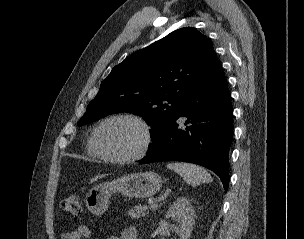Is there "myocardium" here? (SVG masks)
Returning <instances> with one entry per match:
<instances>
[{
	"label": "myocardium",
	"mask_w": 304,
	"mask_h": 239,
	"mask_svg": "<svg viewBox=\"0 0 304 239\" xmlns=\"http://www.w3.org/2000/svg\"><path fill=\"white\" fill-rule=\"evenodd\" d=\"M116 120H129L132 121L140 126L143 132V141L140 146V148L126 156H117V155H112L107 152H105L101 146L99 145L98 142V134L101 130V128L106 125L109 122L116 121ZM153 141V133H152V128L150 124L140 115L134 114V113H118L111 115L105 119H103L94 129L92 136H91V142L93 145L94 150L96 153L101 157L102 159L112 162V163H118V164H126V163H131L137 160H140L143 158L148 150L150 149V146Z\"/></svg>",
	"instance_id": "myocardium-1"
}]
</instances>
